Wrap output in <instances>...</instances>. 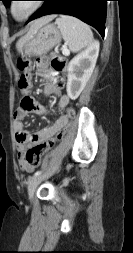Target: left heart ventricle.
<instances>
[{
	"label": "left heart ventricle",
	"instance_id": "left-heart-ventricle-1",
	"mask_svg": "<svg viewBox=\"0 0 133 253\" xmlns=\"http://www.w3.org/2000/svg\"><path fill=\"white\" fill-rule=\"evenodd\" d=\"M33 6L32 1H16L14 4V11L18 17L24 16Z\"/></svg>",
	"mask_w": 133,
	"mask_h": 253
}]
</instances>
